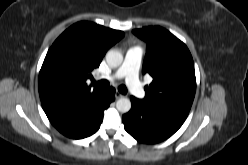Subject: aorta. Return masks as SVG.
<instances>
[{
    "mask_svg": "<svg viewBox=\"0 0 248 165\" xmlns=\"http://www.w3.org/2000/svg\"><path fill=\"white\" fill-rule=\"evenodd\" d=\"M106 60L112 67H118L123 62V55L117 50H109L106 54ZM116 108L119 112L127 113L131 109V101L126 97L117 100Z\"/></svg>",
    "mask_w": 248,
    "mask_h": 165,
    "instance_id": "obj_1",
    "label": "aorta"
}]
</instances>
